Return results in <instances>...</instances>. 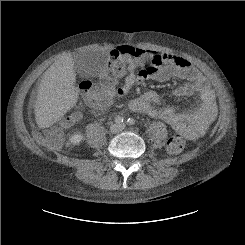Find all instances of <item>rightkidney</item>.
I'll return each mask as SVG.
<instances>
[{
  "instance_id": "ca27d5eb",
  "label": "right kidney",
  "mask_w": 245,
  "mask_h": 245,
  "mask_svg": "<svg viewBox=\"0 0 245 245\" xmlns=\"http://www.w3.org/2000/svg\"><path fill=\"white\" fill-rule=\"evenodd\" d=\"M83 140V135L80 133H76L70 136L69 142L67 145H76L79 144Z\"/></svg>"
}]
</instances>
